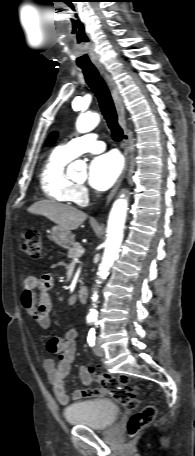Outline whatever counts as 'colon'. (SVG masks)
<instances>
[{
	"instance_id": "5ec220e1",
	"label": "colon",
	"mask_w": 195,
	"mask_h": 456,
	"mask_svg": "<svg viewBox=\"0 0 195 456\" xmlns=\"http://www.w3.org/2000/svg\"><path fill=\"white\" fill-rule=\"evenodd\" d=\"M21 251L31 259H39L43 255V239L38 232H28L21 244ZM98 381L108 391L112 398L127 409H135L139 400L126 377H115L110 373L98 375ZM156 416V408L148 405L134 413L128 421V431L131 435L147 427Z\"/></svg>"
}]
</instances>
